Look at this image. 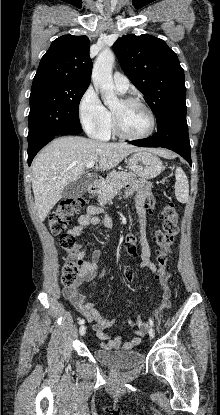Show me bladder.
<instances>
[{"label":"bladder","mask_w":220,"mask_h":415,"mask_svg":"<svg viewBox=\"0 0 220 415\" xmlns=\"http://www.w3.org/2000/svg\"><path fill=\"white\" fill-rule=\"evenodd\" d=\"M93 354L101 363L120 369L134 368L143 361V354L139 351H115L97 347L94 349Z\"/></svg>","instance_id":"obj_1"}]
</instances>
